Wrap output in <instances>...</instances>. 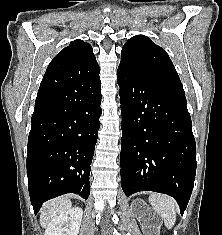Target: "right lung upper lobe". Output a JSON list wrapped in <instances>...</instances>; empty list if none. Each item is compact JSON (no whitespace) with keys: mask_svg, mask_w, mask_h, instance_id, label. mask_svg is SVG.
I'll list each match as a JSON object with an SVG mask.
<instances>
[{"mask_svg":"<svg viewBox=\"0 0 222 235\" xmlns=\"http://www.w3.org/2000/svg\"><path fill=\"white\" fill-rule=\"evenodd\" d=\"M99 73V66L89 43L77 39L50 62L42 82L68 83Z\"/></svg>","mask_w":222,"mask_h":235,"instance_id":"right-lung-upper-lobe-1","label":"right lung upper lobe"}]
</instances>
